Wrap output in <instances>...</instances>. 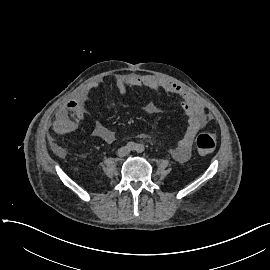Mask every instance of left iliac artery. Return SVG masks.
I'll use <instances>...</instances> for the list:
<instances>
[{"label":"left iliac artery","instance_id":"obj_1","mask_svg":"<svg viewBox=\"0 0 270 270\" xmlns=\"http://www.w3.org/2000/svg\"><path fill=\"white\" fill-rule=\"evenodd\" d=\"M136 151H137L138 153H142V152L144 151V146L141 145V144H138V145L136 146Z\"/></svg>","mask_w":270,"mask_h":270}]
</instances>
